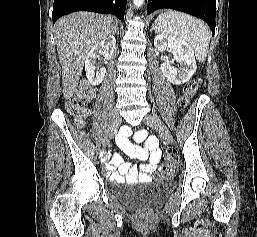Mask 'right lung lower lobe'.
I'll return each mask as SVG.
<instances>
[{
	"label": "right lung lower lobe",
	"mask_w": 257,
	"mask_h": 237,
	"mask_svg": "<svg viewBox=\"0 0 257 237\" xmlns=\"http://www.w3.org/2000/svg\"><path fill=\"white\" fill-rule=\"evenodd\" d=\"M126 2L127 0H54L52 20L55 23L59 17L76 11L112 14L123 19Z\"/></svg>",
	"instance_id": "1"
}]
</instances>
